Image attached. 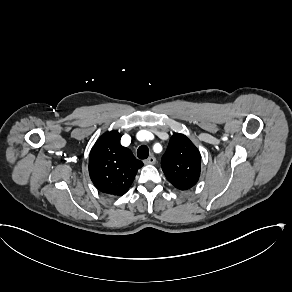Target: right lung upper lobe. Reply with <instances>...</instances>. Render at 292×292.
<instances>
[{
    "label": "right lung upper lobe",
    "instance_id": "1",
    "mask_svg": "<svg viewBox=\"0 0 292 292\" xmlns=\"http://www.w3.org/2000/svg\"><path fill=\"white\" fill-rule=\"evenodd\" d=\"M121 135L115 130L104 133L89 155V174L102 193L122 196L130 188L137 170L143 163L131 150L120 144Z\"/></svg>",
    "mask_w": 292,
    "mask_h": 292
}]
</instances>
